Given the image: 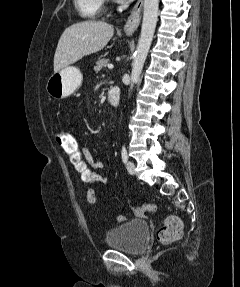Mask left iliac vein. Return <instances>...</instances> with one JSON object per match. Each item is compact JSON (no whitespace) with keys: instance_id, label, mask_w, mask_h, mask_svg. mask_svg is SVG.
<instances>
[{"instance_id":"left-iliac-vein-1","label":"left iliac vein","mask_w":240,"mask_h":287,"mask_svg":"<svg viewBox=\"0 0 240 287\" xmlns=\"http://www.w3.org/2000/svg\"><path fill=\"white\" fill-rule=\"evenodd\" d=\"M127 170L130 174H135V164L132 161H128Z\"/></svg>"}]
</instances>
